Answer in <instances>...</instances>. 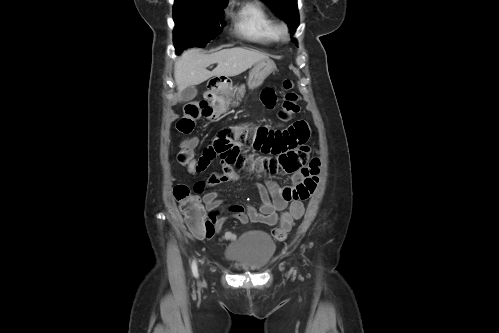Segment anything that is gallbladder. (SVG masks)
Wrapping results in <instances>:
<instances>
[{"label":"gallbladder","instance_id":"gallbladder-1","mask_svg":"<svg viewBox=\"0 0 499 333\" xmlns=\"http://www.w3.org/2000/svg\"><path fill=\"white\" fill-rule=\"evenodd\" d=\"M196 94L197 90L193 86H190L183 91V96L188 100L193 99L196 96Z\"/></svg>","mask_w":499,"mask_h":333}]
</instances>
